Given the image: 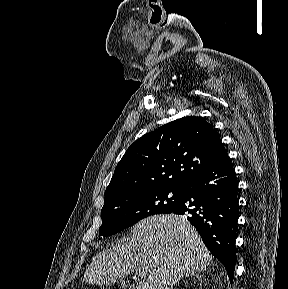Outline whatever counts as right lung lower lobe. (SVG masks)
<instances>
[{
	"label": "right lung lower lobe",
	"mask_w": 288,
	"mask_h": 289,
	"mask_svg": "<svg viewBox=\"0 0 288 289\" xmlns=\"http://www.w3.org/2000/svg\"><path fill=\"white\" fill-rule=\"evenodd\" d=\"M227 153L182 187L181 202L169 213L184 215L209 251L224 265L232 283L238 212V183Z\"/></svg>",
	"instance_id": "1"
}]
</instances>
